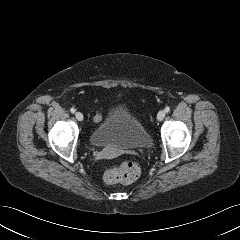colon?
I'll use <instances>...</instances> for the list:
<instances>
[{"label": "colon", "mask_w": 240, "mask_h": 240, "mask_svg": "<svg viewBox=\"0 0 240 240\" xmlns=\"http://www.w3.org/2000/svg\"><path fill=\"white\" fill-rule=\"evenodd\" d=\"M100 114L95 115V121H100ZM140 176V167L136 162L131 160L124 161L120 164L112 165L104 174V180L108 184L124 183L129 184L138 179Z\"/></svg>", "instance_id": "1"}]
</instances>
